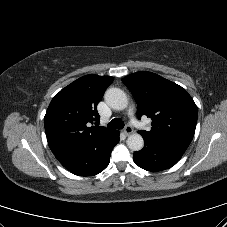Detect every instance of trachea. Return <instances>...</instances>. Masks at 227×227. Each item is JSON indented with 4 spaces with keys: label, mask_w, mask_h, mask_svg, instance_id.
<instances>
[{
    "label": "trachea",
    "mask_w": 227,
    "mask_h": 227,
    "mask_svg": "<svg viewBox=\"0 0 227 227\" xmlns=\"http://www.w3.org/2000/svg\"><path fill=\"white\" fill-rule=\"evenodd\" d=\"M108 128L122 129L124 128V122L119 118L112 119L111 122L108 124Z\"/></svg>",
    "instance_id": "trachea-1"
}]
</instances>
